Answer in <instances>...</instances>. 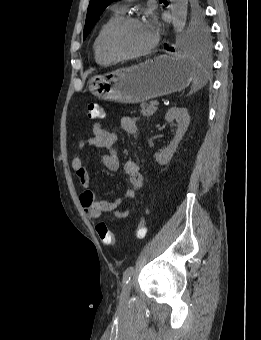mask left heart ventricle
I'll return each mask as SVG.
<instances>
[{"label": "left heart ventricle", "instance_id": "b2bd125f", "mask_svg": "<svg viewBox=\"0 0 261 340\" xmlns=\"http://www.w3.org/2000/svg\"><path fill=\"white\" fill-rule=\"evenodd\" d=\"M153 39V33L143 23H132L120 30L113 40L115 50L131 54L146 48Z\"/></svg>", "mask_w": 261, "mask_h": 340}]
</instances>
